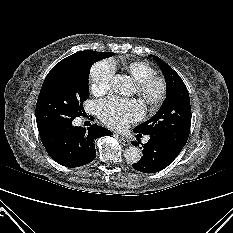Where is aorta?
<instances>
[{
    "mask_svg": "<svg viewBox=\"0 0 233 233\" xmlns=\"http://www.w3.org/2000/svg\"><path fill=\"white\" fill-rule=\"evenodd\" d=\"M113 89L123 95H129L133 89V81L125 75H116L113 78ZM124 157L128 163H137L141 159V150L136 146H129L124 151Z\"/></svg>",
    "mask_w": 233,
    "mask_h": 233,
    "instance_id": "1",
    "label": "aorta"
}]
</instances>
